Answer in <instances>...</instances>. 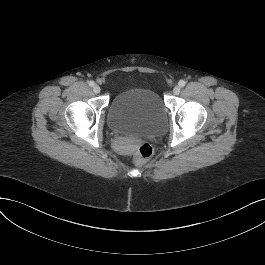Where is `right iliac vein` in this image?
Masks as SVG:
<instances>
[{
  "instance_id": "obj_1",
  "label": "right iliac vein",
  "mask_w": 265,
  "mask_h": 265,
  "mask_svg": "<svg viewBox=\"0 0 265 265\" xmlns=\"http://www.w3.org/2000/svg\"><path fill=\"white\" fill-rule=\"evenodd\" d=\"M93 91H94V93H96V94L100 93V91H101L100 86H99V85H94V86H93Z\"/></svg>"
}]
</instances>
